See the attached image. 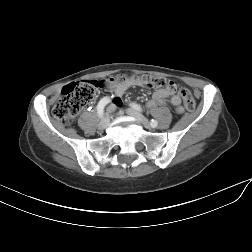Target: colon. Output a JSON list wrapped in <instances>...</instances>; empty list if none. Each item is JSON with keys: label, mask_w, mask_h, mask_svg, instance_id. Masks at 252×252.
I'll use <instances>...</instances> for the list:
<instances>
[{"label": "colon", "mask_w": 252, "mask_h": 252, "mask_svg": "<svg viewBox=\"0 0 252 252\" xmlns=\"http://www.w3.org/2000/svg\"><path fill=\"white\" fill-rule=\"evenodd\" d=\"M133 78L139 80L153 88H166L170 91L176 90V84L172 81H167L163 77L151 75H133L127 77L124 75L116 77L117 82H125ZM107 82V81H106ZM106 82H98L95 80L78 81L66 85L61 93V97L53 108L54 117L64 124H69L77 114L94 98L99 88L106 85ZM179 94L183 99L184 106L187 110L195 109L196 102L190 91L186 88H181ZM119 105V104H118Z\"/></svg>", "instance_id": "colon-1"}]
</instances>
